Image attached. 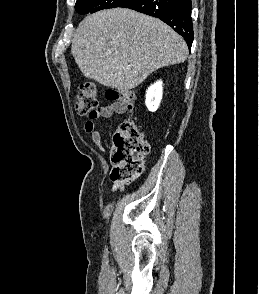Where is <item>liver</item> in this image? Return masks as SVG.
<instances>
[{
	"instance_id": "obj_1",
	"label": "liver",
	"mask_w": 259,
	"mask_h": 294,
	"mask_svg": "<svg viewBox=\"0 0 259 294\" xmlns=\"http://www.w3.org/2000/svg\"><path fill=\"white\" fill-rule=\"evenodd\" d=\"M71 53L86 78L118 90L141 84L159 68L186 60L183 38L161 20L125 8L88 15Z\"/></svg>"
}]
</instances>
